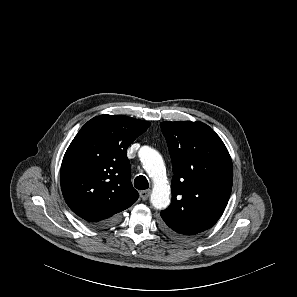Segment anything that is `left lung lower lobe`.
Wrapping results in <instances>:
<instances>
[{
	"label": "left lung lower lobe",
	"mask_w": 297,
	"mask_h": 297,
	"mask_svg": "<svg viewBox=\"0 0 297 297\" xmlns=\"http://www.w3.org/2000/svg\"><path fill=\"white\" fill-rule=\"evenodd\" d=\"M162 228L163 230L168 234L170 235L171 237H174V238H180L177 234H175L174 232H172L169 228H167L166 226H164L162 224Z\"/></svg>",
	"instance_id": "left-lung-lower-lobe-1"
}]
</instances>
